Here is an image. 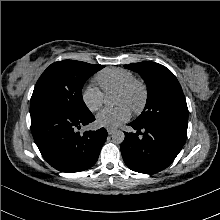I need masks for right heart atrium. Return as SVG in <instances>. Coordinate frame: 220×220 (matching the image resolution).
<instances>
[{
	"instance_id": "1",
	"label": "right heart atrium",
	"mask_w": 220,
	"mask_h": 220,
	"mask_svg": "<svg viewBox=\"0 0 220 220\" xmlns=\"http://www.w3.org/2000/svg\"><path fill=\"white\" fill-rule=\"evenodd\" d=\"M84 105L92 112L98 111L104 103L103 92L94 85H87L81 92Z\"/></svg>"
}]
</instances>
